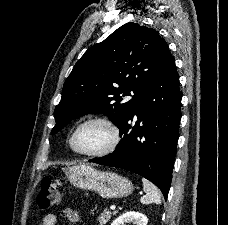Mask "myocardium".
Masks as SVG:
<instances>
[{
  "mask_svg": "<svg viewBox=\"0 0 228 225\" xmlns=\"http://www.w3.org/2000/svg\"><path fill=\"white\" fill-rule=\"evenodd\" d=\"M91 123H96L104 126L110 136V141L108 145L102 149V150H97V151H80L77 150L73 147V137L74 135L80 130L82 127L91 124ZM121 141L120 137V131L117 125L112 122L110 119L102 116H90L86 117L82 120H80L78 123H76L67 133L66 138H65V146L67 150L79 157H90V158H102L105 156H108L112 154L119 146Z\"/></svg>",
  "mask_w": 228,
  "mask_h": 225,
  "instance_id": "myocardium-1",
  "label": "myocardium"
}]
</instances>
